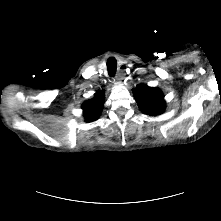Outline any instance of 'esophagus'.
<instances>
[{
	"label": "esophagus",
	"mask_w": 221,
	"mask_h": 221,
	"mask_svg": "<svg viewBox=\"0 0 221 221\" xmlns=\"http://www.w3.org/2000/svg\"><path fill=\"white\" fill-rule=\"evenodd\" d=\"M123 72H124L123 69H119V73L116 76V80H121L122 79Z\"/></svg>",
	"instance_id": "esophagus-1"
}]
</instances>
